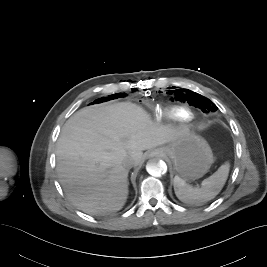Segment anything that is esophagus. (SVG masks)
Here are the masks:
<instances>
[{
	"instance_id": "obj_1",
	"label": "esophagus",
	"mask_w": 267,
	"mask_h": 267,
	"mask_svg": "<svg viewBox=\"0 0 267 267\" xmlns=\"http://www.w3.org/2000/svg\"><path fill=\"white\" fill-rule=\"evenodd\" d=\"M159 154H160L159 151H154V152H151V153L149 154V156H150V157H153V156H158Z\"/></svg>"
}]
</instances>
